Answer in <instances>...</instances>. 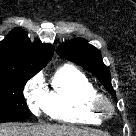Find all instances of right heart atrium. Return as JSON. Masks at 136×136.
Instances as JSON below:
<instances>
[{
    "label": "right heart atrium",
    "mask_w": 136,
    "mask_h": 136,
    "mask_svg": "<svg viewBox=\"0 0 136 136\" xmlns=\"http://www.w3.org/2000/svg\"><path fill=\"white\" fill-rule=\"evenodd\" d=\"M24 96L29 109L34 114H39L45 108V92L42 89V81L39 77L30 80L24 89Z\"/></svg>",
    "instance_id": "right-heart-atrium-1"
}]
</instances>
